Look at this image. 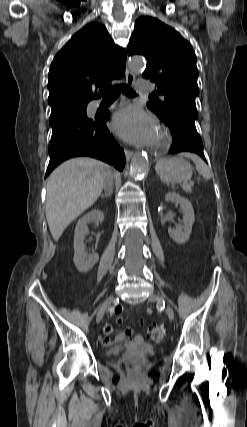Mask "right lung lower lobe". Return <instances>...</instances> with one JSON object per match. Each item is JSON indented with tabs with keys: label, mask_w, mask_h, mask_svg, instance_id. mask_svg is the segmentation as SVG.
Segmentation results:
<instances>
[{
	"label": "right lung lower lobe",
	"mask_w": 247,
	"mask_h": 427,
	"mask_svg": "<svg viewBox=\"0 0 247 427\" xmlns=\"http://www.w3.org/2000/svg\"><path fill=\"white\" fill-rule=\"evenodd\" d=\"M110 113L88 117L86 110L58 109L51 112L49 123L53 129L49 143L51 171L63 161L78 156H89L112 164L119 171L125 165L124 151L106 127Z\"/></svg>",
	"instance_id": "98d812e1"
}]
</instances>
